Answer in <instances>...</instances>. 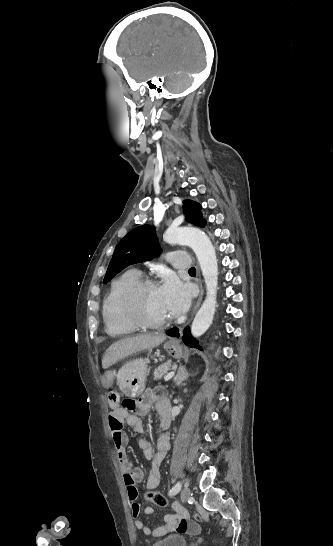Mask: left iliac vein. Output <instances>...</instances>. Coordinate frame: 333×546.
Segmentation results:
<instances>
[{"label":"left iliac vein","instance_id":"1","mask_svg":"<svg viewBox=\"0 0 333 546\" xmlns=\"http://www.w3.org/2000/svg\"><path fill=\"white\" fill-rule=\"evenodd\" d=\"M189 497H190V489L186 486L181 492L182 502L187 501L189 499Z\"/></svg>","mask_w":333,"mask_h":546}]
</instances>
